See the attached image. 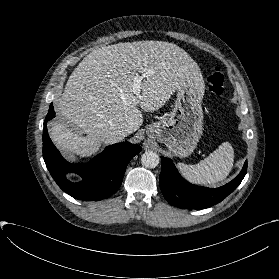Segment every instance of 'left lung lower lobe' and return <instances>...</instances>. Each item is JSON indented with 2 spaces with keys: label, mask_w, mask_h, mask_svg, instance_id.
<instances>
[{
  "label": "left lung lower lobe",
  "mask_w": 279,
  "mask_h": 279,
  "mask_svg": "<svg viewBox=\"0 0 279 279\" xmlns=\"http://www.w3.org/2000/svg\"><path fill=\"white\" fill-rule=\"evenodd\" d=\"M161 163L160 189L171 205L181 209H204L218 204L238 187L247 172L246 161L236 178L222 187L211 189L185 181L171 159L162 157Z\"/></svg>",
  "instance_id": "0a47b994"
}]
</instances>
